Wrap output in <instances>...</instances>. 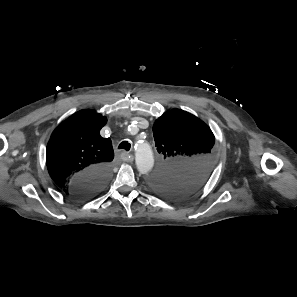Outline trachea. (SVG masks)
Here are the masks:
<instances>
[{
    "label": "trachea",
    "instance_id": "3493384b",
    "mask_svg": "<svg viewBox=\"0 0 297 297\" xmlns=\"http://www.w3.org/2000/svg\"><path fill=\"white\" fill-rule=\"evenodd\" d=\"M131 148V144L127 141H123L119 144L118 149H124L126 151H129Z\"/></svg>",
    "mask_w": 297,
    "mask_h": 297
}]
</instances>
